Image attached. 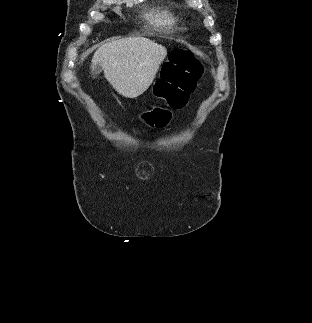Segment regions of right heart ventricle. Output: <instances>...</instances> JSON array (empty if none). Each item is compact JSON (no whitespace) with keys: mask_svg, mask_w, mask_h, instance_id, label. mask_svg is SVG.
<instances>
[{"mask_svg":"<svg viewBox=\"0 0 312 323\" xmlns=\"http://www.w3.org/2000/svg\"><path fill=\"white\" fill-rule=\"evenodd\" d=\"M174 6L177 9L176 13ZM193 17V13H189L186 5H181L179 1L175 3L170 1L168 5H161L159 1H152L150 5H140L134 15L135 20H146V25H150L151 29H165L167 25H172V23L173 25H182V23L194 25ZM181 31L187 33L189 28L183 26Z\"/></svg>","mask_w":312,"mask_h":323,"instance_id":"obj_1","label":"right heart ventricle"}]
</instances>
